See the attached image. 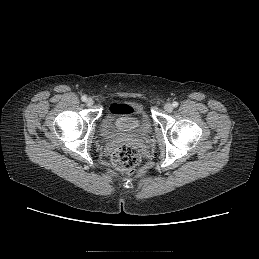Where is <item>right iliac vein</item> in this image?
Instances as JSON below:
<instances>
[{"mask_svg": "<svg viewBox=\"0 0 259 259\" xmlns=\"http://www.w3.org/2000/svg\"><path fill=\"white\" fill-rule=\"evenodd\" d=\"M94 104V101H93V99L92 98H88L87 100H86V105L87 106H92Z\"/></svg>", "mask_w": 259, "mask_h": 259, "instance_id": "1", "label": "right iliac vein"}]
</instances>
